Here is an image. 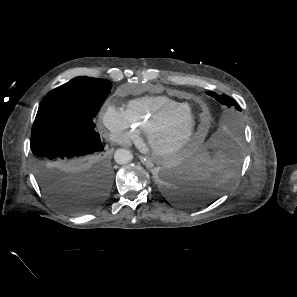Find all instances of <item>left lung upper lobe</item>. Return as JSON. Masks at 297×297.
<instances>
[{
	"instance_id": "1",
	"label": "left lung upper lobe",
	"mask_w": 297,
	"mask_h": 297,
	"mask_svg": "<svg viewBox=\"0 0 297 297\" xmlns=\"http://www.w3.org/2000/svg\"><path fill=\"white\" fill-rule=\"evenodd\" d=\"M207 94L214 97L219 103L232 108L231 111L229 110L225 114V118L221 124L220 129L221 133H223L224 137L229 139V141L232 139V137H238L240 133V124L234 108L237 111H241L240 106L232 98L225 94H222L221 96L215 92H207Z\"/></svg>"
}]
</instances>
